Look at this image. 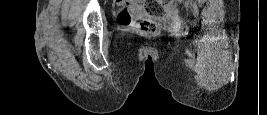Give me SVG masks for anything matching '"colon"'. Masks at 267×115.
I'll return each mask as SVG.
<instances>
[{
    "label": "colon",
    "mask_w": 267,
    "mask_h": 115,
    "mask_svg": "<svg viewBox=\"0 0 267 115\" xmlns=\"http://www.w3.org/2000/svg\"><path fill=\"white\" fill-rule=\"evenodd\" d=\"M173 2L174 0H147L146 9L153 17L162 19L165 15L166 6ZM118 20L122 25H129L133 23L137 31L145 36H155L160 32V28L157 23L143 18L133 17L131 11L127 7H123L120 10Z\"/></svg>",
    "instance_id": "colon-1"
}]
</instances>
